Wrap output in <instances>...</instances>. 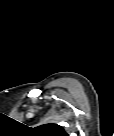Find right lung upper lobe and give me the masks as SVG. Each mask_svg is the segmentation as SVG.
<instances>
[{
  "mask_svg": "<svg viewBox=\"0 0 114 136\" xmlns=\"http://www.w3.org/2000/svg\"><path fill=\"white\" fill-rule=\"evenodd\" d=\"M34 132L40 136H67L63 127L57 124H44L34 129Z\"/></svg>",
  "mask_w": 114,
  "mask_h": 136,
  "instance_id": "obj_1",
  "label": "right lung upper lobe"
}]
</instances>
